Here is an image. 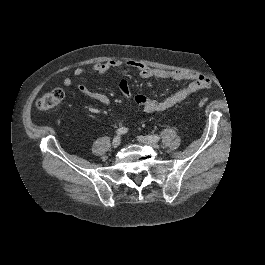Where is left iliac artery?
I'll return each mask as SVG.
<instances>
[{
	"label": "left iliac artery",
	"mask_w": 265,
	"mask_h": 265,
	"mask_svg": "<svg viewBox=\"0 0 265 265\" xmlns=\"http://www.w3.org/2000/svg\"><path fill=\"white\" fill-rule=\"evenodd\" d=\"M148 137L154 140L155 142H158L160 140V137L158 135H150Z\"/></svg>",
	"instance_id": "44dca946"
}]
</instances>
